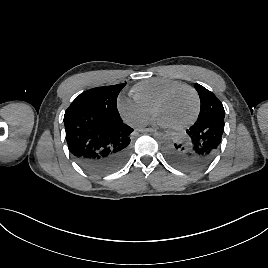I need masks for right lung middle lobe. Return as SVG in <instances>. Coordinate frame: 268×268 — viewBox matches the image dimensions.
<instances>
[{
  "instance_id": "dd1d6c3e",
  "label": "right lung middle lobe",
  "mask_w": 268,
  "mask_h": 268,
  "mask_svg": "<svg viewBox=\"0 0 268 268\" xmlns=\"http://www.w3.org/2000/svg\"><path fill=\"white\" fill-rule=\"evenodd\" d=\"M126 84L102 86L87 90L71 103L64 117L80 110H92L106 115H119L117 96Z\"/></svg>"
}]
</instances>
